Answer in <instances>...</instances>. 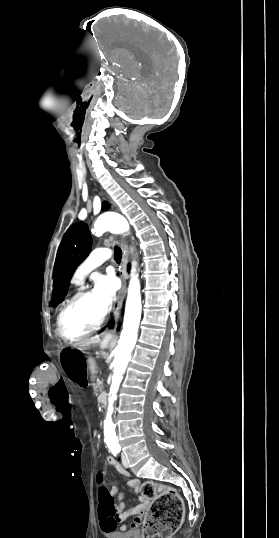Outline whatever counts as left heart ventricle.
I'll return each mask as SVG.
<instances>
[{
    "instance_id": "b2bd125f",
    "label": "left heart ventricle",
    "mask_w": 279,
    "mask_h": 538,
    "mask_svg": "<svg viewBox=\"0 0 279 538\" xmlns=\"http://www.w3.org/2000/svg\"><path fill=\"white\" fill-rule=\"evenodd\" d=\"M103 313L98 297L95 293L90 294L68 310L63 320L64 333L69 337H76L86 332L97 323Z\"/></svg>"
}]
</instances>
